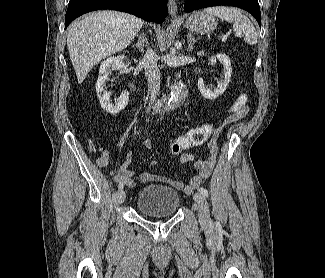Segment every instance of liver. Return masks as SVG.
I'll use <instances>...</instances> for the list:
<instances>
[{
    "instance_id": "6515ba94",
    "label": "liver",
    "mask_w": 325,
    "mask_h": 278,
    "mask_svg": "<svg viewBox=\"0 0 325 278\" xmlns=\"http://www.w3.org/2000/svg\"><path fill=\"white\" fill-rule=\"evenodd\" d=\"M143 21L118 11H97L75 21L67 35L70 59L78 83L101 60L125 49L137 35Z\"/></svg>"
}]
</instances>
